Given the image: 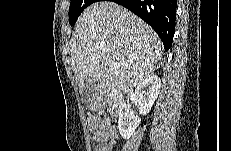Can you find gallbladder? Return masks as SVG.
<instances>
[{"instance_id": "1", "label": "gallbladder", "mask_w": 231, "mask_h": 151, "mask_svg": "<svg viewBox=\"0 0 231 151\" xmlns=\"http://www.w3.org/2000/svg\"><path fill=\"white\" fill-rule=\"evenodd\" d=\"M96 96V81L93 78L88 77L83 83L81 98L85 103H92L95 100Z\"/></svg>"}]
</instances>
